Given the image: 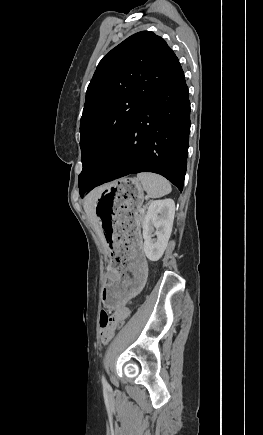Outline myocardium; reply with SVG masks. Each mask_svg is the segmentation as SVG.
I'll return each mask as SVG.
<instances>
[{
    "label": "myocardium",
    "mask_w": 263,
    "mask_h": 435,
    "mask_svg": "<svg viewBox=\"0 0 263 435\" xmlns=\"http://www.w3.org/2000/svg\"><path fill=\"white\" fill-rule=\"evenodd\" d=\"M116 159V153L112 149H106L103 150L96 159V167L97 168H104L107 165L114 162Z\"/></svg>",
    "instance_id": "1"
}]
</instances>
